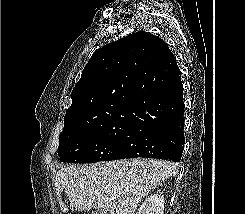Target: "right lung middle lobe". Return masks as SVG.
Here are the masks:
<instances>
[{"instance_id":"obj_1","label":"right lung middle lobe","mask_w":245,"mask_h":214,"mask_svg":"<svg viewBox=\"0 0 245 214\" xmlns=\"http://www.w3.org/2000/svg\"><path fill=\"white\" fill-rule=\"evenodd\" d=\"M131 122L122 120L90 128H77L64 122L58 155L64 163H94L118 157Z\"/></svg>"}]
</instances>
